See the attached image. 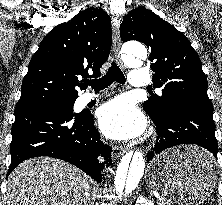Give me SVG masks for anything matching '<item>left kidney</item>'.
<instances>
[{
  "label": "left kidney",
  "instance_id": "left-kidney-1",
  "mask_svg": "<svg viewBox=\"0 0 222 205\" xmlns=\"http://www.w3.org/2000/svg\"><path fill=\"white\" fill-rule=\"evenodd\" d=\"M136 205H154L153 202H151L150 200H148L145 197L140 196L137 200H136Z\"/></svg>",
  "mask_w": 222,
  "mask_h": 205
}]
</instances>
